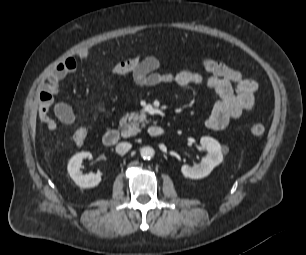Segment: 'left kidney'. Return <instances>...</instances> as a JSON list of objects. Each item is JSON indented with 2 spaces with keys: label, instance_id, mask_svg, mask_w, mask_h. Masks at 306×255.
<instances>
[{
  "label": "left kidney",
  "instance_id": "1",
  "mask_svg": "<svg viewBox=\"0 0 306 255\" xmlns=\"http://www.w3.org/2000/svg\"><path fill=\"white\" fill-rule=\"evenodd\" d=\"M201 145L206 149L207 154L202 158L201 163L190 167L183 165L181 172L185 177L191 179H201L208 176L211 171L219 165L223 160L221 145L219 142L211 137H202L200 139Z\"/></svg>",
  "mask_w": 306,
  "mask_h": 255
}]
</instances>
